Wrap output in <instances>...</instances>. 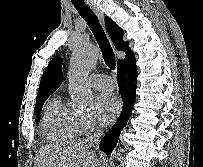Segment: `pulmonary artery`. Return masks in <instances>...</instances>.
<instances>
[{"label": "pulmonary artery", "instance_id": "obj_1", "mask_svg": "<svg viewBox=\"0 0 203 167\" xmlns=\"http://www.w3.org/2000/svg\"><path fill=\"white\" fill-rule=\"evenodd\" d=\"M89 81L91 86L97 90H111L114 88V82L108 75H92Z\"/></svg>", "mask_w": 203, "mask_h": 167}]
</instances>
